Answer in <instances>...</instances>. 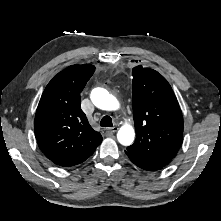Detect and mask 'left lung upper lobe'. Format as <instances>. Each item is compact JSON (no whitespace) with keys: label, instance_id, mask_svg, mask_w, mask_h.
<instances>
[{"label":"left lung upper lobe","instance_id":"obj_1","mask_svg":"<svg viewBox=\"0 0 221 221\" xmlns=\"http://www.w3.org/2000/svg\"><path fill=\"white\" fill-rule=\"evenodd\" d=\"M133 116L136 140L127 152L167 165L183 139V117L167 80L157 71L134 67Z\"/></svg>","mask_w":221,"mask_h":221}]
</instances>
